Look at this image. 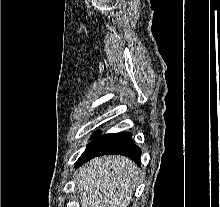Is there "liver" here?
<instances>
[{
    "instance_id": "6515ba94",
    "label": "liver",
    "mask_w": 220,
    "mask_h": 207,
    "mask_svg": "<svg viewBox=\"0 0 220 207\" xmlns=\"http://www.w3.org/2000/svg\"><path fill=\"white\" fill-rule=\"evenodd\" d=\"M139 181V169L123 156L94 158L79 168L76 187L81 207H127Z\"/></svg>"
}]
</instances>
